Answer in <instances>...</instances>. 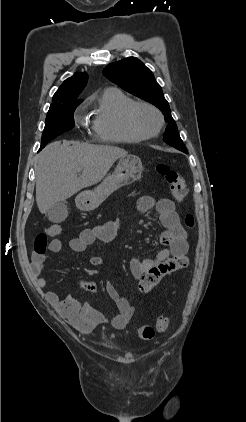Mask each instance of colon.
<instances>
[{
  "instance_id": "obj_1",
  "label": "colon",
  "mask_w": 246,
  "mask_h": 422,
  "mask_svg": "<svg viewBox=\"0 0 246 422\" xmlns=\"http://www.w3.org/2000/svg\"><path fill=\"white\" fill-rule=\"evenodd\" d=\"M156 171L169 184L171 196L175 200H181L185 197L188 190L187 183L177 171L166 164H158ZM185 224L189 228L194 226V218L191 214L185 217ZM61 230V226L58 224L47 226L45 231L38 234L35 238V252L37 254H44L47 247V236H57L61 233ZM188 262L187 256H177L159 263L142 275L139 282V290L144 294L150 292L165 276L185 268ZM169 324L170 322L167 317L159 315L156 318L155 328L158 332H165L169 328ZM137 332L142 339H151L155 334V330L151 326H139Z\"/></svg>"
}]
</instances>
